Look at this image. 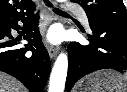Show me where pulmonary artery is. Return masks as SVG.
<instances>
[{"mask_svg": "<svg viewBox=\"0 0 127 92\" xmlns=\"http://www.w3.org/2000/svg\"><path fill=\"white\" fill-rule=\"evenodd\" d=\"M66 9L69 10V11L75 12L79 17V20L83 24H85V25L88 24V18H87V15L84 11H82L81 9H78L77 7H75L73 5H67Z\"/></svg>", "mask_w": 127, "mask_h": 92, "instance_id": "1", "label": "pulmonary artery"}]
</instances>
